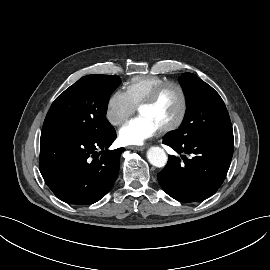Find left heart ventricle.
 Returning a JSON list of instances; mask_svg holds the SVG:
<instances>
[{
    "mask_svg": "<svg viewBox=\"0 0 270 270\" xmlns=\"http://www.w3.org/2000/svg\"><path fill=\"white\" fill-rule=\"evenodd\" d=\"M180 108L181 99L178 90L175 87H167L153 105L142 107L139 114L149 117L161 129L176 120Z\"/></svg>",
    "mask_w": 270,
    "mask_h": 270,
    "instance_id": "obj_1",
    "label": "left heart ventricle"
}]
</instances>
